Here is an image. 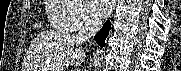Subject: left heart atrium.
<instances>
[{
    "mask_svg": "<svg viewBox=\"0 0 181 71\" xmlns=\"http://www.w3.org/2000/svg\"><path fill=\"white\" fill-rule=\"evenodd\" d=\"M89 4L98 16L107 15L113 7V1L111 0H90Z\"/></svg>",
    "mask_w": 181,
    "mask_h": 71,
    "instance_id": "1",
    "label": "left heart atrium"
}]
</instances>
